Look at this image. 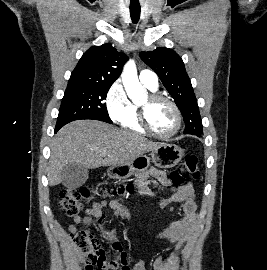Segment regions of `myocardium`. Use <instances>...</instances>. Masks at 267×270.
Listing matches in <instances>:
<instances>
[{"mask_svg": "<svg viewBox=\"0 0 267 270\" xmlns=\"http://www.w3.org/2000/svg\"><path fill=\"white\" fill-rule=\"evenodd\" d=\"M160 101L166 102L167 104H169L172 107V109L174 110L175 115H176V127H175L174 131L168 135H163V134L156 132L152 128V126L149 122V118H148L149 106L153 103L160 102ZM138 112H139V121H140L142 128L148 134H150L158 139L171 140L174 137H176L181 130L182 114H181L179 107L177 106V104L173 100H171L170 98H168L160 93H157V92L150 93L147 97V103L140 104L138 106Z\"/></svg>", "mask_w": 267, "mask_h": 270, "instance_id": "1", "label": "myocardium"}]
</instances>
